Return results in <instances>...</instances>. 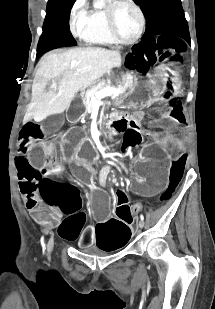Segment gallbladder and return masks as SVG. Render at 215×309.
<instances>
[{
	"instance_id": "bac80fb5",
	"label": "gallbladder",
	"mask_w": 215,
	"mask_h": 309,
	"mask_svg": "<svg viewBox=\"0 0 215 309\" xmlns=\"http://www.w3.org/2000/svg\"><path fill=\"white\" fill-rule=\"evenodd\" d=\"M48 88V86H46ZM62 114L56 113L55 115H49L47 119V123H45V127H41V130H45L46 132H59L61 124Z\"/></svg>"
}]
</instances>
